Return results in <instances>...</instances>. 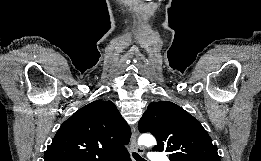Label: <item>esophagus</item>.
Returning a JSON list of instances; mask_svg holds the SVG:
<instances>
[{"mask_svg": "<svg viewBox=\"0 0 261 161\" xmlns=\"http://www.w3.org/2000/svg\"><path fill=\"white\" fill-rule=\"evenodd\" d=\"M136 137H137V134H136V132H134L131 136V146L135 152L139 153L140 155H143L144 148L137 144Z\"/></svg>", "mask_w": 261, "mask_h": 161, "instance_id": "1", "label": "esophagus"}]
</instances>
